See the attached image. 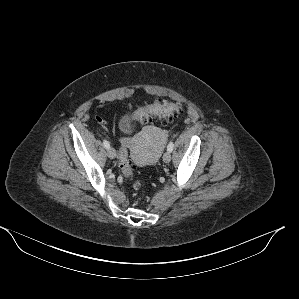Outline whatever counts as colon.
<instances>
[{
  "label": "colon",
  "mask_w": 299,
  "mask_h": 299,
  "mask_svg": "<svg viewBox=\"0 0 299 299\" xmlns=\"http://www.w3.org/2000/svg\"><path fill=\"white\" fill-rule=\"evenodd\" d=\"M183 108L179 103L166 101V100H156L152 103L146 104L140 108L135 116L136 121L144 126L154 120H158L162 123H168L172 121L174 117L182 112ZM119 167L122 175L129 179L133 176V169L128 157V152L123 151L119 155ZM135 188H140L141 183L136 181L134 183Z\"/></svg>",
  "instance_id": "5ec220e1"
}]
</instances>
